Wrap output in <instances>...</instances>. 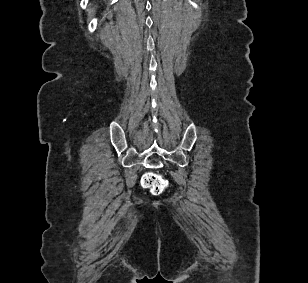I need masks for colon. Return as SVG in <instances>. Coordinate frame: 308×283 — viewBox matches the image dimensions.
Instances as JSON below:
<instances>
[{"label":"colon","mask_w":308,"mask_h":283,"mask_svg":"<svg viewBox=\"0 0 308 283\" xmlns=\"http://www.w3.org/2000/svg\"><path fill=\"white\" fill-rule=\"evenodd\" d=\"M141 184L144 188L149 189L155 195L162 193L167 186V183L162 176L154 172L144 174L141 179Z\"/></svg>","instance_id":"colon-1"}]
</instances>
